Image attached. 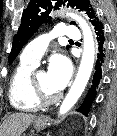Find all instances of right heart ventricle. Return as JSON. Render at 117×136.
I'll use <instances>...</instances> for the list:
<instances>
[{
  "mask_svg": "<svg viewBox=\"0 0 117 136\" xmlns=\"http://www.w3.org/2000/svg\"><path fill=\"white\" fill-rule=\"evenodd\" d=\"M36 64L21 60L16 67L9 86V100L13 108L22 112H34L39 104L34 99L31 75Z\"/></svg>",
  "mask_w": 117,
  "mask_h": 136,
  "instance_id": "right-heart-ventricle-1",
  "label": "right heart ventricle"
}]
</instances>
